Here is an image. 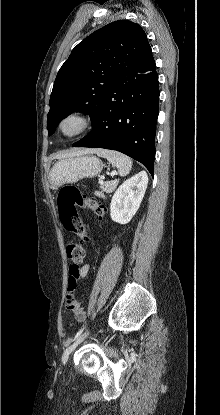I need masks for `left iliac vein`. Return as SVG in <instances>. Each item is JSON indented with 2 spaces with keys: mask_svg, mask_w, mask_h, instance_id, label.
<instances>
[{
  "mask_svg": "<svg viewBox=\"0 0 220 415\" xmlns=\"http://www.w3.org/2000/svg\"><path fill=\"white\" fill-rule=\"evenodd\" d=\"M89 335V331H85L82 335H80L77 339H76V341L71 345V346H69L67 349H66V351L64 352V354H63V357H62V361H63V363H66L67 362V360H68V358H69V355L75 350V348L81 343V342H83V340L87 337Z\"/></svg>",
  "mask_w": 220,
  "mask_h": 415,
  "instance_id": "left-iliac-vein-1",
  "label": "left iliac vein"
}]
</instances>
